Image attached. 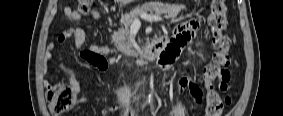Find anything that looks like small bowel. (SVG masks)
<instances>
[{"instance_id": "c3829d8e", "label": "small bowel", "mask_w": 283, "mask_h": 116, "mask_svg": "<svg viewBox=\"0 0 283 116\" xmlns=\"http://www.w3.org/2000/svg\"><path fill=\"white\" fill-rule=\"evenodd\" d=\"M64 15L68 23V29L59 35L57 42H52L48 45L49 55L58 44H62L67 38L70 37L73 39L74 49L81 51V57L86 62L94 65L100 71H105L107 68V63L106 59L102 55H108L110 50L103 45L87 43L85 31L81 27L72 24L73 22L82 20L83 16L79 12L71 7H66L64 9ZM91 16L94 19L100 18V14L96 11H94ZM199 25L200 21L198 19H190L177 27L175 30V37L171 39L169 45L162 53V57L159 61L162 67L169 66V64L164 63L165 59L168 57L174 58L181 51V49H183L191 41ZM59 68L65 75L68 76L69 83L74 94H79L80 83L74 70L67 66L64 61L59 62ZM185 89H189L195 106L201 108L203 104V91L201 87L195 79L190 77L188 74L183 73L178 77V89L176 91L177 99L182 97ZM227 97L229 96H226L225 98ZM134 100V96H131L125 100H121L118 106L107 107L103 111V115H108L111 111L119 108L121 109L123 116H137L139 115L137 114V108L133 107L132 105Z\"/></svg>"}]
</instances>
